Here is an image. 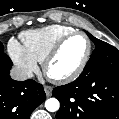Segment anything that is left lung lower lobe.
Returning a JSON list of instances; mask_svg holds the SVG:
<instances>
[{"label": "left lung lower lobe", "instance_id": "left-lung-lower-lobe-1", "mask_svg": "<svg viewBox=\"0 0 119 119\" xmlns=\"http://www.w3.org/2000/svg\"><path fill=\"white\" fill-rule=\"evenodd\" d=\"M56 119H119V51L110 46L90 59L72 83L53 89Z\"/></svg>", "mask_w": 119, "mask_h": 119}]
</instances>
